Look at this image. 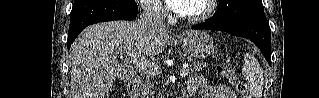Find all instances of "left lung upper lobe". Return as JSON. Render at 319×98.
<instances>
[{
  "instance_id": "1",
  "label": "left lung upper lobe",
  "mask_w": 319,
  "mask_h": 98,
  "mask_svg": "<svg viewBox=\"0 0 319 98\" xmlns=\"http://www.w3.org/2000/svg\"><path fill=\"white\" fill-rule=\"evenodd\" d=\"M258 11H264L261 0H219L215 15L205 21V23H227Z\"/></svg>"
}]
</instances>
